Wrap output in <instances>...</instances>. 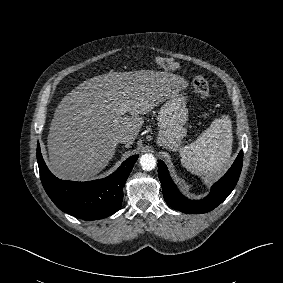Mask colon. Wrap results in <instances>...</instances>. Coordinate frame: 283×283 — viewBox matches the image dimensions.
I'll return each mask as SVG.
<instances>
[{
	"mask_svg": "<svg viewBox=\"0 0 283 283\" xmlns=\"http://www.w3.org/2000/svg\"><path fill=\"white\" fill-rule=\"evenodd\" d=\"M155 62L157 65L165 69H168V70H179L180 69L179 63H177L176 61L170 58L158 56L155 58ZM192 83H193L194 91L201 98L207 99L210 97L211 89H210L209 83L207 82L205 78H203L202 76H195L193 78Z\"/></svg>",
	"mask_w": 283,
	"mask_h": 283,
	"instance_id": "1",
	"label": "colon"
}]
</instances>
